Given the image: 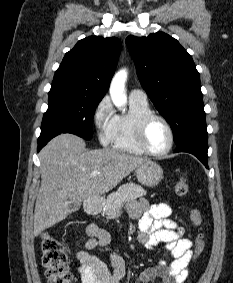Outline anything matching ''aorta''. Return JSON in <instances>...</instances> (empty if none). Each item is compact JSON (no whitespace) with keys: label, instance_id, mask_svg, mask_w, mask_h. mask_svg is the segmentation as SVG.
<instances>
[{"label":"aorta","instance_id":"aorta-1","mask_svg":"<svg viewBox=\"0 0 233 283\" xmlns=\"http://www.w3.org/2000/svg\"><path fill=\"white\" fill-rule=\"evenodd\" d=\"M127 80V71L122 69L118 71L110 85V96L116 107H124L127 103V96L125 93V82Z\"/></svg>","mask_w":233,"mask_h":283}]
</instances>
